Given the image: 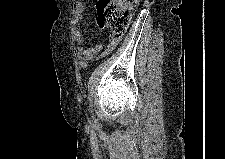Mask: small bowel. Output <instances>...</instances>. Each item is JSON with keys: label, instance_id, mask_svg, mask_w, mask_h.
Returning a JSON list of instances; mask_svg holds the SVG:
<instances>
[{"label": "small bowel", "instance_id": "obj_1", "mask_svg": "<svg viewBox=\"0 0 225 159\" xmlns=\"http://www.w3.org/2000/svg\"><path fill=\"white\" fill-rule=\"evenodd\" d=\"M85 3L82 1L76 2L72 9L71 15V36L74 42L77 44H83L84 37L78 27L79 22L81 21L83 14L85 12ZM120 41L119 37L111 36L108 43L103 46L101 44L95 45L89 48L76 47L75 54L79 62V66L84 69L87 67L88 62L97 58L98 56H105L115 49L118 42Z\"/></svg>", "mask_w": 225, "mask_h": 159}]
</instances>
